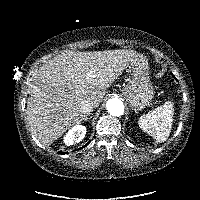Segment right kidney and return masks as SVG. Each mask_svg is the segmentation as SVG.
Segmentation results:
<instances>
[{"mask_svg":"<svg viewBox=\"0 0 200 200\" xmlns=\"http://www.w3.org/2000/svg\"><path fill=\"white\" fill-rule=\"evenodd\" d=\"M86 134V127L82 125L74 126L72 129L68 131V133L64 136L63 142L67 146L74 145L83 140Z\"/></svg>","mask_w":200,"mask_h":200,"instance_id":"right-kidney-1","label":"right kidney"}]
</instances>
